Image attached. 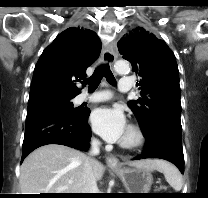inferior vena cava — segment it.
Masks as SVG:
<instances>
[{
  "label": "inferior vena cava",
  "mask_w": 208,
  "mask_h": 198,
  "mask_svg": "<svg viewBox=\"0 0 208 198\" xmlns=\"http://www.w3.org/2000/svg\"><path fill=\"white\" fill-rule=\"evenodd\" d=\"M100 152V142L93 139L91 142V148L89 156H86L83 166L82 180L83 187L81 193H97V183L93 172V164L95 159L93 156L98 155Z\"/></svg>",
  "instance_id": "1"
}]
</instances>
